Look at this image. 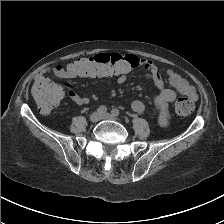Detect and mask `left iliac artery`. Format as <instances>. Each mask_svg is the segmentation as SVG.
<instances>
[{"instance_id":"1","label":"left iliac artery","mask_w":224,"mask_h":224,"mask_svg":"<svg viewBox=\"0 0 224 224\" xmlns=\"http://www.w3.org/2000/svg\"><path fill=\"white\" fill-rule=\"evenodd\" d=\"M111 114H112L113 116L117 117V116H119L120 112H119L118 109H113V110L111 111Z\"/></svg>"}]
</instances>
